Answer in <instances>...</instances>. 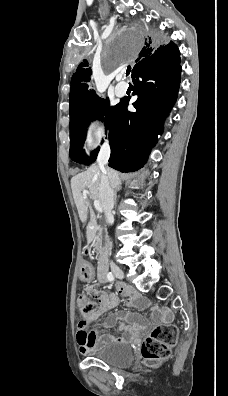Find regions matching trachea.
I'll list each match as a JSON object with an SVG mask.
<instances>
[{
	"label": "trachea",
	"instance_id": "1",
	"mask_svg": "<svg viewBox=\"0 0 228 396\" xmlns=\"http://www.w3.org/2000/svg\"><path fill=\"white\" fill-rule=\"evenodd\" d=\"M130 72H131V69H127L126 76H128L130 74Z\"/></svg>",
	"mask_w": 228,
	"mask_h": 396
}]
</instances>
